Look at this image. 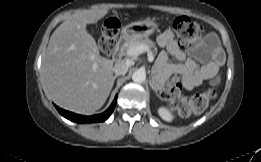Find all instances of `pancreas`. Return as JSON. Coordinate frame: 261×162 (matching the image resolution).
<instances>
[{"mask_svg": "<svg viewBox=\"0 0 261 162\" xmlns=\"http://www.w3.org/2000/svg\"><path fill=\"white\" fill-rule=\"evenodd\" d=\"M141 44L149 46L150 49L155 48V43L153 41L149 40L148 38H140V39H134L126 42L123 45V49L127 50L131 46L141 45Z\"/></svg>", "mask_w": 261, "mask_h": 162, "instance_id": "1", "label": "pancreas"}]
</instances>
